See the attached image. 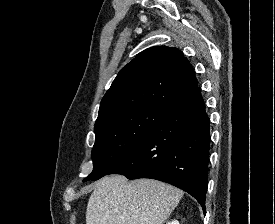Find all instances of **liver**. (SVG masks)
I'll return each mask as SVG.
<instances>
[{
  "instance_id": "6515ba94",
  "label": "liver",
  "mask_w": 275,
  "mask_h": 224,
  "mask_svg": "<svg viewBox=\"0 0 275 224\" xmlns=\"http://www.w3.org/2000/svg\"><path fill=\"white\" fill-rule=\"evenodd\" d=\"M182 196L181 190L157 180L107 176L95 184L86 224H163Z\"/></svg>"
}]
</instances>
